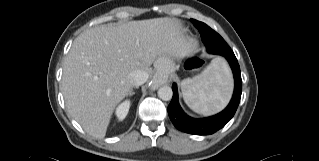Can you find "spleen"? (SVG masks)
<instances>
[{
    "mask_svg": "<svg viewBox=\"0 0 319 161\" xmlns=\"http://www.w3.org/2000/svg\"><path fill=\"white\" fill-rule=\"evenodd\" d=\"M232 86L227 63L217 58L200 75L183 80L181 90L190 109L199 114L211 115L226 106Z\"/></svg>",
    "mask_w": 319,
    "mask_h": 161,
    "instance_id": "spleen-1",
    "label": "spleen"
}]
</instances>
